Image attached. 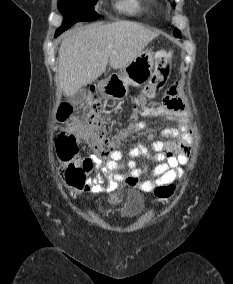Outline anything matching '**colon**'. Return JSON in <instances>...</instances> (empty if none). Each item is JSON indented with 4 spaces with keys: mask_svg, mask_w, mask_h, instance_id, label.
I'll return each mask as SVG.
<instances>
[{
    "mask_svg": "<svg viewBox=\"0 0 233 284\" xmlns=\"http://www.w3.org/2000/svg\"><path fill=\"white\" fill-rule=\"evenodd\" d=\"M174 54L169 50H159L155 54V68L149 82L144 86L136 98L138 106H147L148 102L154 100L165 87L171 70ZM101 102L97 99L90 101L85 109L88 124L87 140L91 147L99 154L110 155L116 146V139L107 136L106 129L100 118ZM72 113V106L61 103L58 109V119L66 120ZM56 149L61 161L60 176L69 189H81L87 182L89 173L93 168L90 158L79 155L76 137L69 132L61 131L56 139ZM176 192L173 183L158 186L154 194L162 199L172 197Z\"/></svg>",
    "mask_w": 233,
    "mask_h": 284,
    "instance_id": "obj_1",
    "label": "colon"
}]
</instances>
